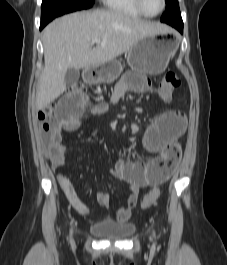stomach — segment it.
<instances>
[{
  "label": "stomach",
  "instance_id": "1",
  "mask_svg": "<svg viewBox=\"0 0 227 265\" xmlns=\"http://www.w3.org/2000/svg\"><path fill=\"white\" fill-rule=\"evenodd\" d=\"M177 50L174 39L158 36H147L138 40L127 54V63L131 69L147 74L158 75L163 73L172 56ZM122 71V65L117 60L89 67L86 71L88 83H112Z\"/></svg>",
  "mask_w": 227,
  "mask_h": 265
}]
</instances>
